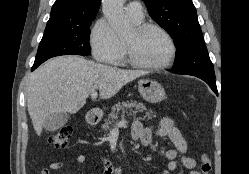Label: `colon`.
Wrapping results in <instances>:
<instances>
[{
	"mask_svg": "<svg viewBox=\"0 0 249 174\" xmlns=\"http://www.w3.org/2000/svg\"><path fill=\"white\" fill-rule=\"evenodd\" d=\"M72 135V130L68 126H63L57 131H55L49 138V143L55 149H64L67 147L69 139ZM200 172L201 174H209L212 169L211 159L209 155L205 152L201 154L200 157Z\"/></svg>",
	"mask_w": 249,
	"mask_h": 174,
	"instance_id": "obj_1",
	"label": "colon"
}]
</instances>
